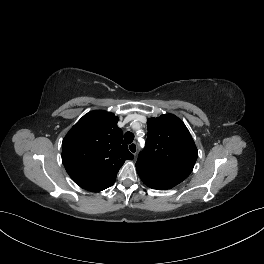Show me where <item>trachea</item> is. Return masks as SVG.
<instances>
[{
    "mask_svg": "<svg viewBox=\"0 0 264 264\" xmlns=\"http://www.w3.org/2000/svg\"><path fill=\"white\" fill-rule=\"evenodd\" d=\"M134 139V134L132 132H126L124 135V140L127 144H130Z\"/></svg>",
    "mask_w": 264,
    "mask_h": 264,
    "instance_id": "trachea-1",
    "label": "trachea"
}]
</instances>
